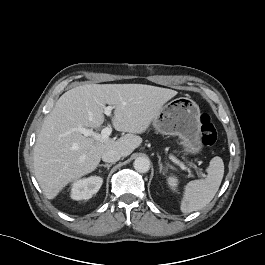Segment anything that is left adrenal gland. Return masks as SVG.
I'll list each match as a JSON object with an SVG mask.
<instances>
[{
	"label": "left adrenal gland",
	"instance_id": "a2214340",
	"mask_svg": "<svg viewBox=\"0 0 265 265\" xmlns=\"http://www.w3.org/2000/svg\"><path fill=\"white\" fill-rule=\"evenodd\" d=\"M158 164H159L160 173H162L163 175H165L166 170L164 169V167H163V165L161 163V158L160 157H159Z\"/></svg>",
	"mask_w": 265,
	"mask_h": 265
}]
</instances>
